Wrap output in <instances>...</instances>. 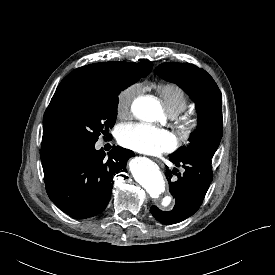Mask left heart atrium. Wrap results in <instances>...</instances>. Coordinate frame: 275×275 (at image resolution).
<instances>
[{
	"label": "left heart atrium",
	"instance_id": "39dd6f15",
	"mask_svg": "<svg viewBox=\"0 0 275 275\" xmlns=\"http://www.w3.org/2000/svg\"><path fill=\"white\" fill-rule=\"evenodd\" d=\"M118 140L126 148L152 155L172 151L177 146L173 133L147 123L120 126Z\"/></svg>",
	"mask_w": 275,
	"mask_h": 275
}]
</instances>
